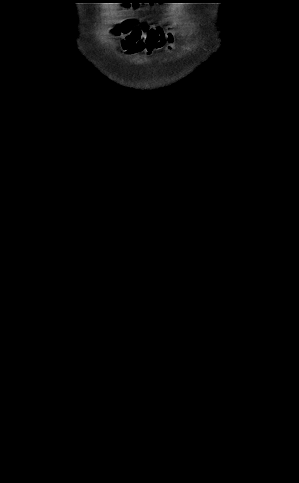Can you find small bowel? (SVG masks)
I'll list each match as a JSON object with an SVG mask.
<instances>
[{"mask_svg":"<svg viewBox=\"0 0 299 483\" xmlns=\"http://www.w3.org/2000/svg\"><path fill=\"white\" fill-rule=\"evenodd\" d=\"M113 33L121 37L120 45L126 52L152 54L162 46L168 51L173 49L174 34L162 26L139 23L128 18L118 24Z\"/></svg>","mask_w":299,"mask_h":483,"instance_id":"obj_1","label":"small bowel"}]
</instances>
